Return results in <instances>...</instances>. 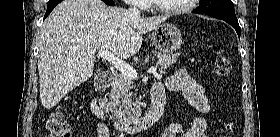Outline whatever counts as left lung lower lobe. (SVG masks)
I'll list each match as a JSON object with an SVG mask.
<instances>
[{
    "label": "left lung lower lobe",
    "instance_id": "obj_1",
    "mask_svg": "<svg viewBox=\"0 0 280 137\" xmlns=\"http://www.w3.org/2000/svg\"><path fill=\"white\" fill-rule=\"evenodd\" d=\"M210 16H212L214 18H217V19H221V20L229 23L236 30V32L238 34V37L240 38L241 29H240V26L238 24L237 18H229V17L215 16V15H210Z\"/></svg>",
    "mask_w": 280,
    "mask_h": 137
}]
</instances>
